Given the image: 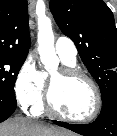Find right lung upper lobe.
I'll return each instance as SVG.
<instances>
[{
  "instance_id": "1",
  "label": "right lung upper lobe",
  "mask_w": 117,
  "mask_h": 136,
  "mask_svg": "<svg viewBox=\"0 0 117 136\" xmlns=\"http://www.w3.org/2000/svg\"><path fill=\"white\" fill-rule=\"evenodd\" d=\"M28 28L27 0H0V55L26 58Z\"/></svg>"
}]
</instances>
